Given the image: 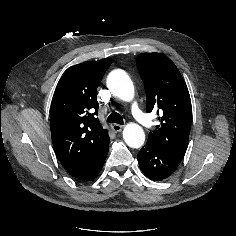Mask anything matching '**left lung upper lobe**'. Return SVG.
<instances>
[{
    "label": "left lung upper lobe",
    "instance_id": "5c2ea615",
    "mask_svg": "<svg viewBox=\"0 0 236 236\" xmlns=\"http://www.w3.org/2000/svg\"><path fill=\"white\" fill-rule=\"evenodd\" d=\"M137 68L146 91V111L158 108L161 125L149 133L147 143L180 162L190 134L192 108L186 83L176 65L160 53H143Z\"/></svg>",
    "mask_w": 236,
    "mask_h": 236
}]
</instances>
